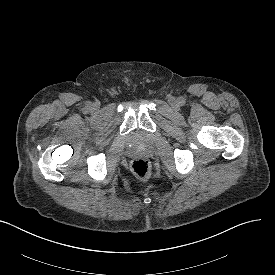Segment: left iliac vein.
<instances>
[{
	"mask_svg": "<svg viewBox=\"0 0 275 275\" xmlns=\"http://www.w3.org/2000/svg\"><path fill=\"white\" fill-rule=\"evenodd\" d=\"M169 104L174 108L177 109L179 107V102L176 98L170 97L169 98Z\"/></svg>",
	"mask_w": 275,
	"mask_h": 275,
	"instance_id": "1",
	"label": "left iliac vein"
}]
</instances>
